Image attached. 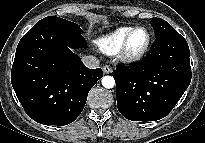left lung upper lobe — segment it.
Returning <instances> with one entry per match:
<instances>
[{"label":"left lung upper lobe","instance_id":"1","mask_svg":"<svg viewBox=\"0 0 205 143\" xmlns=\"http://www.w3.org/2000/svg\"><path fill=\"white\" fill-rule=\"evenodd\" d=\"M151 24L154 28L156 38L175 31V29L168 22L161 18H152Z\"/></svg>","mask_w":205,"mask_h":143}]
</instances>
